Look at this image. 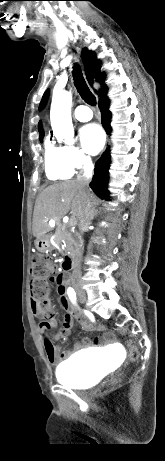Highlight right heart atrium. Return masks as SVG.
<instances>
[{
  "label": "right heart atrium",
  "instance_id": "d8ad5b80",
  "mask_svg": "<svg viewBox=\"0 0 165 461\" xmlns=\"http://www.w3.org/2000/svg\"><path fill=\"white\" fill-rule=\"evenodd\" d=\"M67 164L73 169H82L89 165V157L79 148L73 145L62 147Z\"/></svg>",
  "mask_w": 165,
  "mask_h": 461
}]
</instances>
